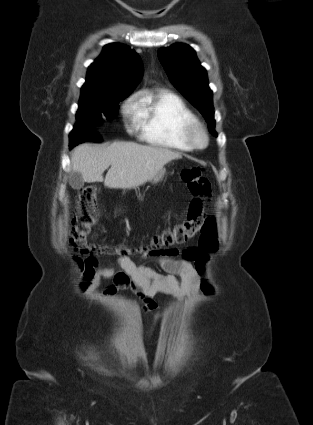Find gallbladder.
I'll return each instance as SVG.
<instances>
[{"label":"gallbladder","instance_id":"obj_1","mask_svg":"<svg viewBox=\"0 0 313 425\" xmlns=\"http://www.w3.org/2000/svg\"><path fill=\"white\" fill-rule=\"evenodd\" d=\"M69 184L73 189H80L84 186V180L80 173L73 172L69 179Z\"/></svg>","mask_w":313,"mask_h":425}]
</instances>
